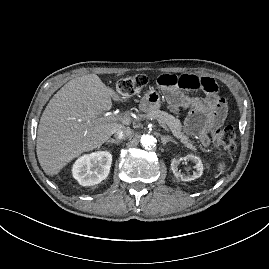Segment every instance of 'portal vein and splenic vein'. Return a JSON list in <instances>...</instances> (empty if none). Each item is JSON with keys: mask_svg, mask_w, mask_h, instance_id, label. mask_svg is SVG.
I'll return each mask as SVG.
<instances>
[{"mask_svg": "<svg viewBox=\"0 0 269 269\" xmlns=\"http://www.w3.org/2000/svg\"><path fill=\"white\" fill-rule=\"evenodd\" d=\"M106 118L109 120H112V121H118V120L122 121L123 120V117H121L117 114H110ZM160 126H162L163 128L166 129V127L162 123H160Z\"/></svg>", "mask_w": 269, "mask_h": 269, "instance_id": "18ae733b", "label": "portal vein and splenic vein"}]
</instances>
